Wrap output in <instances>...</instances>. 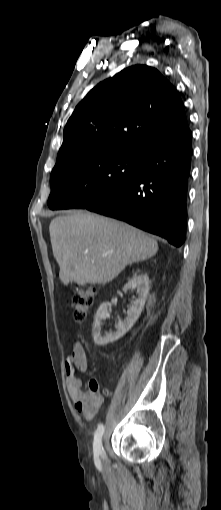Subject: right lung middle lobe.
<instances>
[{
	"instance_id": "right-lung-middle-lobe-1",
	"label": "right lung middle lobe",
	"mask_w": 221,
	"mask_h": 510,
	"mask_svg": "<svg viewBox=\"0 0 221 510\" xmlns=\"http://www.w3.org/2000/svg\"><path fill=\"white\" fill-rule=\"evenodd\" d=\"M146 149L109 148L73 155L50 177V209L85 208L118 191L140 169Z\"/></svg>"
}]
</instances>
